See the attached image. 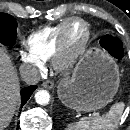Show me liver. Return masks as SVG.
I'll return each mask as SVG.
<instances>
[{
  "instance_id": "obj_1",
  "label": "liver",
  "mask_w": 130,
  "mask_h": 130,
  "mask_svg": "<svg viewBox=\"0 0 130 130\" xmlns=\"http://www.w3.org/2000/svg\"><path fill=\"white\" fill-rule=\"evenodd\" d=\"M20 84L10 57L0 47V130L6 128L16 110Z\"/></svg>"
}]
</instances>
